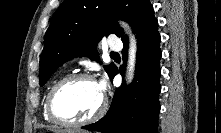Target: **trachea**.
<instances>
[{
	"mask_svg": "<svg viewBox=\"0 0 221 133\" xmlns=\"http://www.w3.org/2000/svg\"><path fill=\"white\" fill-rule=\"evenodd\" d=\"M110 56H112V57H117V56H119V54L116 53V52H112V53L110 54Z\"/></svg>",
	"mask_w": 221,
	"mask_h": 133,
	"instance_id": "3493384b",
	"label": "trachea"
}]
</instances>
